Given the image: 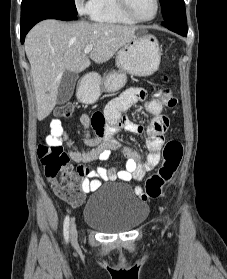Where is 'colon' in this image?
<instances>
[{
    "instance_id": "colon-1",
    "label": "colon",
    "mask_w": 227,
    "mask_h": 279,
    "mask_svg": "<svg viewBox=\"0 0 227 279\" xmlns=\"http://www.w3.org/2000/svg\"><path fill=\"white\" fill-rule=\"evenodd\" d=\"M162 89L159 97L165 106L173 108L178 104V99L174 96L172 89L168 86L169 77H161ZM75 111L71 104L64 105L59 110L60 119L70 118ZM57 119L53 121L54 129H51L47 137L46 144H41L37 148L38 159L43 166L49 182L56 193L65 201L75 204L80 201L78 181L71 176L64 179L58 178L61 169L70 162V156L61 147L62 123ZM96 128L101 131L103 117L99 113L93 115ZM183 156L182 143L177 139H170L163 150V160L159 169L153 173L145 182L144 188L137 193L143 201L156 199L162 196L164 186L173 178Z\"/></svg>"
}]
</instances>
